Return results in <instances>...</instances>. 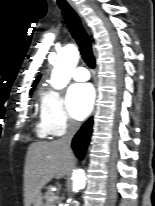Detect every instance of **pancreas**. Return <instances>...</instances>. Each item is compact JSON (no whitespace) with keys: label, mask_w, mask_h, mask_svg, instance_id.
<instances>
[{"label":"pancreas","mask_w":155,"mask_h":206,"mask_svg":"<svg viewBox=\"0 0 155 206\" xmlns=\"http://www.w3.org/2000/svg\"><path fill=\"white\" fill-rule=\"evenodd\" d=\"M43 198L46 201L45 206H56L55 195L49 187Z\"/></svg>","instance_id":"cf45deb5"}]
</instances>
